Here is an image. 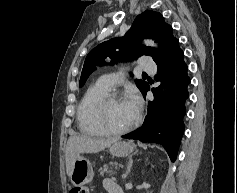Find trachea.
I'll use <instances>...</instances> for the list:
<instances>
[{"mask_svg": "<svg viewBox=\"0 0 237 193\" xmlns=\"http://www.w3.org/2000/svg\"><path fill=\"white\" fill-rule=\"evenodd\" d=\"M142 75L146 76L147 74H146V73H143Z\"/></svg>", "mask_w": 237, "mask_h": 193, "instance_id": "3493384b", "label": "trachea"}]
</instances>
